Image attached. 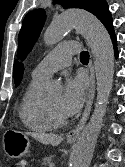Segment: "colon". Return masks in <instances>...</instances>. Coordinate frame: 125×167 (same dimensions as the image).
<instances>
[{
    "mask_svg": "<svg viewBox=\"0 0 125 167\" xmlns=\"http://www.w3.org/2000/svg\"><path fill=\"white\" fill-rule=\"evenodd\" d=\"M10 167H26V164L23 161H21V162H15Z\"/></svg>",
    "mask_w": 125,
    "mask_h": 167,
    "instance_id": "colon-1",
    "label": "colon"
}]
</instances>
